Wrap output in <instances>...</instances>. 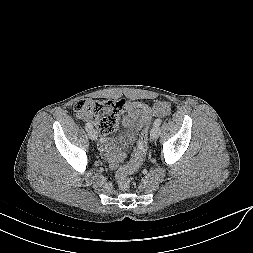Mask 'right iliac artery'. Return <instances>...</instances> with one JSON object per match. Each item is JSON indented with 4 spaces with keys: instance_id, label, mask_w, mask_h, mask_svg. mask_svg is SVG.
Returning a JSON list of instances; mask_svg holds the SVG:
<instances>
[{
    "instance_id": "obj_1",
    "label": "right iliac artery",
    "mask_w": 253,
    "mask_h": 253,
    "mask_svg": "<svg viewBox=\"0 0 253 253\" xmlns=\"http://www.w3.org/2000/svg\"><path fill=\"white\" fill-rule=\"evenodd\" d=\"M85 126H86L87 129H92L93 128L91 123H86Z\"/></svg>"
}]
</instances>
